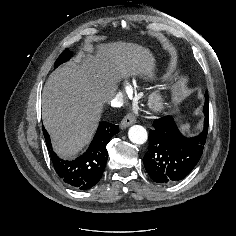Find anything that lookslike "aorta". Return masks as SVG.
Masks as SVG:
<instances>
[{
    "label": "aorta",
    "instance_id": "762f6f07",
    "mask_svg": "<svg viewBox=\"0 0 236 236\" xmlns=\"http://www.w3.org/2000/svg\"><path fill=\"white\" fill-rule=\"evenodd\" d=\"M128 137L132 143L141 145L147 141L148 135L143 126L133 125L129 128Z\"/></svg>",
    "mask_w": 236,
    "mask_h": 236
}]
</instances>
